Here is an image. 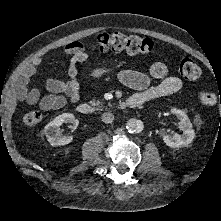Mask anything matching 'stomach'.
<instances>
[{
    "mask_svg": "<svg viewBox=\"0 0 221 221\" xmlns=\"http://www.w3.org/2000/svg\"><path fill=\"white\" fill-rule=\"evenodd\" d=\"M110 71L111 69L106 67L96 68L91 71L90 76L95 79H98L104 76L105 74L109 73Z\"/></svg>",
    "mask_w": 221,
    "mask_h": 221,
    "instance_id": "obj_1",
    "label": "stomach"
}]
</instances>
